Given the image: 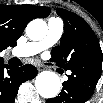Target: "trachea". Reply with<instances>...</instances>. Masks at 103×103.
Listing matches in <instances>:
<instances>
[{
  "mask_svg": "<svg viewBox=\"0 0 103 103\" xmlns=\"http://www.w3.org/2000/svg\"><path fill=\"white\" fill-rule=\"evenodd\" d=\"M10 64L13 65V66L19 65V63L15 59L10 60Z\"/></svg>",
  "mask_w": 103,
  "mask_h": 103,
  "instance_id": "trachea-1",
  "label": "trachea"
}]
</instances>
